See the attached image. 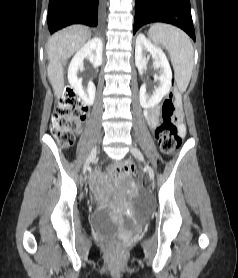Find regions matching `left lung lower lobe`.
I'll return each instance as SVG.
<instances>
[{
    "mask_svg": "<svg viewBox=\"0 0 238 278\" xmlns=\"http://www.w3.org/2000/svg\"><path fill=\"white\" fill-rule=\"evenodd\" d=\"M152 22L178 26L195 41L189 0H136L134 34L141 26Z\"/></svg>",
    "mask_w": 238,
    "mask_h": 278,
    "instance_id": "0a47b994",
    "label": "left lung lower lobe"
}]
</instances>
